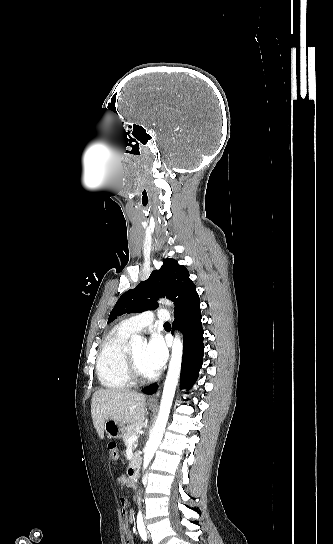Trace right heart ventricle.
<instances>
[{
	"label": "right heart ventricle",
	"mask_w": 333,
	"mask_h": 544,
	"mask_svg": "<svg viewBox=\"0 0 333 544\" xmlns=\"http://www.w3.org/2000/svg\"><path fill=\"white\" fill-rule=\"evenodd\" d=\"M132 335L119 325L104 338L96 361L97 377L108 389H126L133 385L126 365L127 340Z\"/></svg>",
	"instance_id": "1"
}]
</instances>
